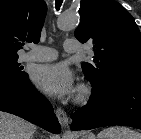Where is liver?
<instances>
[{
	"label": "liver",
	"mask_w": 141,
	"mask_h": 139,
	"mask_svg": "<svg viewBox=\"0 0 141 139\" xmlns=\"http://www.w3.org/2000/svg\"><path fill=\"white\" fill-rule=\"evenodd\" d=\"M36 130V125L0 111V139H32Z\"/></svg>",
	"instance_id": "liver-1"
}]
</instances>
